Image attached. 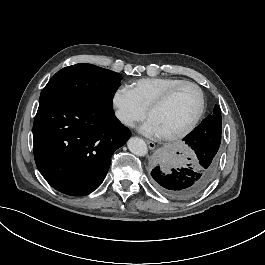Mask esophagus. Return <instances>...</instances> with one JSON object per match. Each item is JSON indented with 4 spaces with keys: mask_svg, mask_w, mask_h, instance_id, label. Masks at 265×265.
<instances>
[{
    "mask_svg": "<svg viewBox=\"0 0 265 265\" xmlns=\"http://www.w3.org/2000/svg\"><path fill=\"white\" fill-rule=\"evenodd\" d=\"M146 143H147V145H148L150 150H154L155 149L156 145H155L154 142L146 140Z\"/></svg>",
    "mask_w": 265,
    "mask_h": 265,
    "instance_id": "34e87169",
    "label": "esophagus"
}]
</instances>
